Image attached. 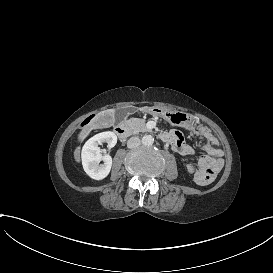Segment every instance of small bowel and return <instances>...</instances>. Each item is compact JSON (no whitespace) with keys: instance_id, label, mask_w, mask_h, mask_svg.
Instances as JSON below:
<instances>
[{"instance_id":"1","label":"small bowel","mask_w":273,"mask_h":273,"mask_svg":"<svg viewBox=\"0 0 273 273\" xmlns=\"http://www.w3.org/2000/svg\"><path fill=\"white\" fill-rule=\"evenodd\" d=\"M195 132L200 136V145L201 148L208 154L211 152H216L221 154V152L215 148V145L217 144L216 137L212 134L211 130L203 125H198L195 128ZM164 135L168 136L169 140L168 143L173 145L174 150H176L179 153H185V154H193L194 150L191 146L182 143L184 140V134L179 129H174L171 132H165ZM205 156V155H204ZM200 157L199 163L201 159L204 157ZM200 169V168H199ZM187 170L189 173H196V178L198 171L195 170V167L192 164H189L187 166Z\"/></svg>"}]
</instances>
